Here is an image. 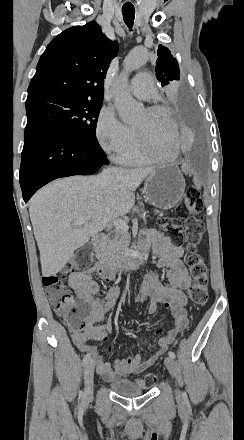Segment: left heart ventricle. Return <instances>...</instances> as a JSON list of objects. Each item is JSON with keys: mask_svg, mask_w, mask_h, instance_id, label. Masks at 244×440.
<instances>
[{"mask_svg": "<svg viewBox=\"0 0 244 440\" xmlns=\"http://www.w3.org/2000/svg\"><path fill=\"white\" fill-rule=\"evenodd\" d=\"M167 111H145L139 115L134 127L146 132V146H159L167 156L170 153L171 133Z\"/></svg>", "mask_w": 244, "mask_h": 440, "instance_id": "obj_1", "label": "left heart ventricle"}]
</instances>
